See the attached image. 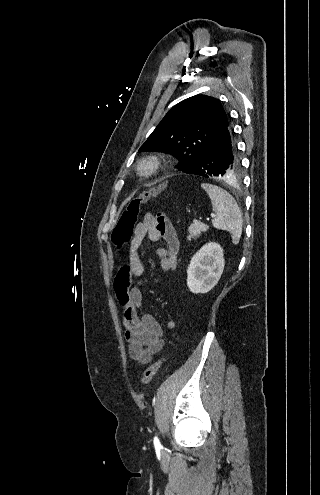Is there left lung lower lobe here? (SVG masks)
<instances>
[{
  "label": "left lung lower lobe",
  "instance_id": "left-lung-lower-lobe-1",
  "mask_svg": "<svg viewBox=\"0 0 320 495\" xmlns=\"http://www.w3.org/2000/svg\"><path fill=\"white\" fill-rule=\"evenodd\" d=\"M239 167L240 160L228 122L215 139L201 151L195 163L183 172L207 178H228L237 174Z\"/></svg>",
  "mask_w": 320,
  "mask_h": 495
}]
</instances>
